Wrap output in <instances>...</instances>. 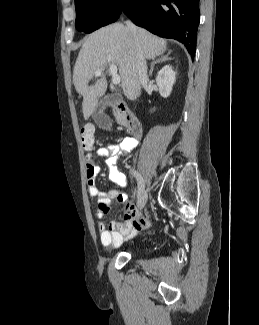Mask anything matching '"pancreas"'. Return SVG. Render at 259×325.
<instances>
[{
    "mask_svg": "<svg viewBox=\"0 0 259 325\" xmlns=\"http://www.w3.org/2000/svg\"><path fill=\"white\" fill-rule=\"evenodd\" d=\"M113 115L115 116L118 124L125 125V119H124L123 115L117 109L113 110Z\"/></svg>",
    "mask_w": 259,
    "mask_h": 325,
    "instance_id": "cf45deb5",
    "label": "pancreas"
}]
</instances>
